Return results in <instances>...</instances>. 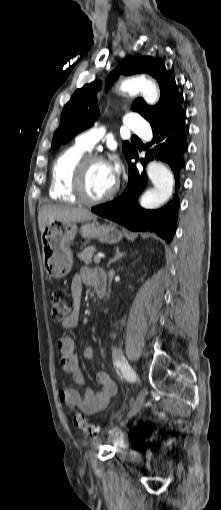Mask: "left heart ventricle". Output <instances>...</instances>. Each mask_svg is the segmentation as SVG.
Wrapping results in <instances>:
<instances>
[{"instance_id":"obj_1","label":"left heart ventricle","mask_w":221,"mask_h":510,"mask_svg":"<svg viewBox=\"0 0 221 510\" xmlns=\"http://www.w3.org/2000/svg\"><path fill=\"white\" fill-rule=\"evenodd\" d=\"M116 180L107 162H93L88 166L85 189L90 198L101 197L112 190Z\"/></svg>"}]
</instances>
